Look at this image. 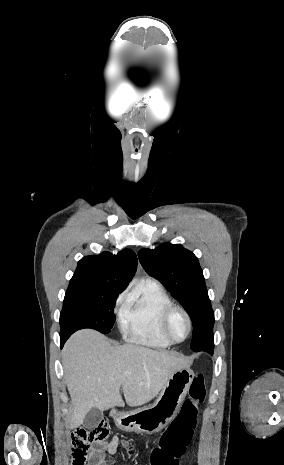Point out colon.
Wrapping results in <instances>:
<instances>
[{
	"label": "colon",
	"instance_id": "1",
	"mask_svg": "<svg viewBox=\"0 0 284 465\" xmlns=\"http://www.w3.org/2000/svg\"><path fill=\"white\" fill-rule=\"evenodd\" d=\"M204 398L203 375L196 374L189 385L188 398L181 407L182 412L177 413V421H171V424L165 429V437L161 438L159 442L162 446L155 447L153 456L149 457L150 465H179L185 454V448L189 447L188 438H192V430L196 428L197 405L202 404ZM108 438L107 425L101 422L75 430L71 439V465H85V452L92 444Z\"/></svg>",
	"mask_w": 284,
	"mask_h": 465
}]
</instances>
